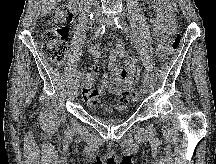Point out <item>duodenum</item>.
I'll use <instances>...</instances> for the list:
<instances>
[{"label":"duodenum","mask_w":216,"mask_h":164,"mask_svg":"<svg viewBox=\"0 0 216 164\" xmlns=\"http://www.w3.org/2000/svg\"><path fill=\"white\" fill-rule=\"evenodd\" d=\"M85 0H69V3L71 4L72 8L81 11L84 7Z\"/></svg>","instance_id":"duodenum-1"}]
</instances>
